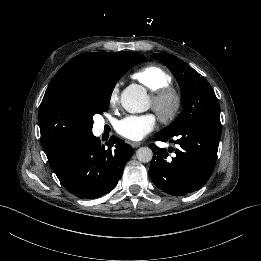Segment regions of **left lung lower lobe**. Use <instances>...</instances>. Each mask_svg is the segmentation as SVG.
Listing matches in <instances>:
<instances>
[{"label": "left lung lower lobe", "instance_id": "0a47b994", "mask_svg": "<svg viewBox=\"0 0 261 261\" xmlns=\"http://www.w3.org/2000/svg\"><path fill=\"white\" fill-rule=\"evenodd\" d=\"M221 128L210 124H196L175 136L160 132L155 140L178 144L174 158H168L165 148L156 147L150 164L152 182L164 192L183 196L199 190L210 178L216 163ZM173 151V150H172Z\"/></svg>", "mask_w": 261, "mask_h": 261}]
</instances>
